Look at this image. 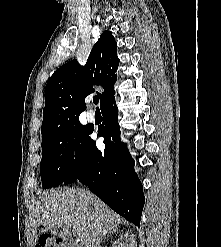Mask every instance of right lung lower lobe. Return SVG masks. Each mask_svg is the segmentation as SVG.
I'll return each mask as SVG.
<instances>
[{"label": "right lung lower lobe", "mask_w": 221, "mask_h": 247, "mask_svg": "<svg viewBox=\"0 0 221 247\" xmlns=\"http://www.w3.org/2000/svg\"><path fill=\"white\" fill-rule=\"evenodd\" d=\"M101 112L103 123L98 135L104 137L105 149L98 150L96 142L90 139L85 155L63 183L79 180L110 208L139 227L145 198L133 168L134 160L120 141L115 97L101 107Z\"/></svg>", "instance_id": "98d812e1"}]
</instances>
